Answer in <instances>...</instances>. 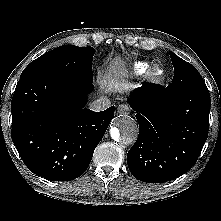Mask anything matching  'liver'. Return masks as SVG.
Instances as JSON below:
<instances>
[{"label":"liver","mask_w":221,"mask_h":221,"mask_svg":"<svg viewBox=\"0 0 221 221\" xmlns=\"http://www.w3.org/2000/svg\"><path fill=\"white\" fill-rule=\"evenodd\" d=\"M128 71L123 61L115 59L110 65L107 74L100 81V89L105 93H124L133 88L131 83L126 81Z\"/></svg>","instance_id":"obj_1"}]
</instances>
